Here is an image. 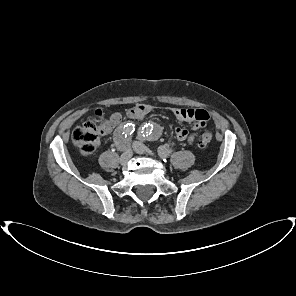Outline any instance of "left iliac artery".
<instances>
[{
	"label": "left iliac artery",
	"mask_w": 296,
	"mask_h": 296,
	"mask_svg": "<svg viewBox=\"0 0 296 296\" xmlns=\"http://www.w3.org/2000/svg\"><path fill=\"white\" fill-rule=\"evenodd\" d=\"M149 124L144 125V127H142V129L139 132V137L142 139H151L152 138V129H150V127H148Z\"/></svg>",
	"instance_id": "left-iliac-artery-1"
}]
</instances>
